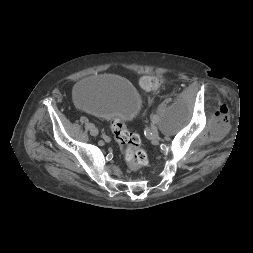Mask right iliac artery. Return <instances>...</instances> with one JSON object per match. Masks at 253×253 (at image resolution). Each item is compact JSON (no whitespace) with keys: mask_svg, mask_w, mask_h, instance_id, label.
I'll return each mask as SVG.
<instances>
[{"mask_svg":"<svg viewBox=\"0 0 253 253\" xmlns=\"http://www.w3.org/2000/svg\"><path fill=\"white\" fill-rule=\"evenodd\" d=\"M87 127L91 129L92 127H94V125L92 123H87Z\"/></svg>","mask_w":253,"mask_h":253,"instance_id":"82829eb1","label":"right iliac artery"}]
</instances>
